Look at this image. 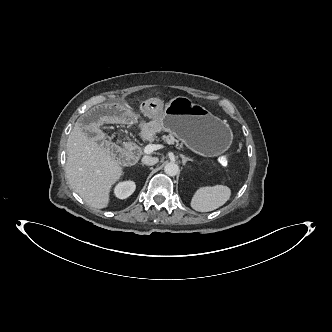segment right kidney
Segmentation results:
<instances>
[{
  "instance_id": "right-kidney-1",
  "label": "right kidney",
  "mask_w": 332,
  "mask_h": 332,
  "mask_svg": "<svg viewBox=\"0 0 332 332\" xmlns=\"http://www.w3.org/2000/svg\"><path fill=\"white\" fill-rule=\"evenodd\" d=\"M136 185L133 181L120 182L115 188V195L119 199H126L135 191Z\"/></svg>"
}]
</instances>
